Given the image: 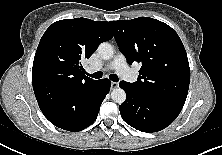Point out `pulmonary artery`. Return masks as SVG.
I'll return each mask as SVG.
<instances>
[{
  "mask_svg": "<svg viewBox=\"0 0 222 155\" xmlns=\"http://www.w3.org/2000/svg\"><path fill=\"white\" fill-rule=\"evenodd\" d=\"M106 70H115L118 75L129 82L137 79L136 74L128 67L124 55L120 53L107 65Z\"/></svg>",
  "mask_w": 222,
  "mask_h": 155,
  "instance_id": "1",
  "label": "pulmonary artery"
}]
</instances>
